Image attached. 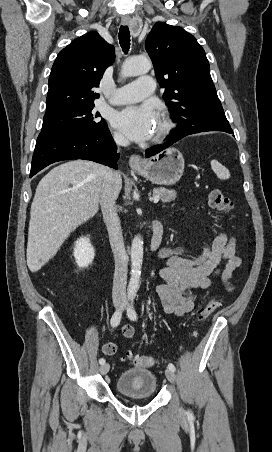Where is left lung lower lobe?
Returning <instances> with one entry per match:
<instances>
[{"instance_id": "0a47b994", "label": "left lung lower lobe", "mask_w": 272, "mask_h": 452, "mask_svg": "<svg viewBox=\"0 0 272 452\" xmlns=\"http://www.w3.org/2000/svg\"><path fill=\"white\" fill-rule=\"evenodd\" d=\"M205 131H224V132L233 134L231 127L225 128V129H220V130L177 127L176 130L172 131L170 133V135L167 136L168 141L166 143L159 145V146H153V147L147 149L145 151V155H146V157L153 156V155L159 153L160 151L166 149L167 147L171 146L172 144L177 142L179 139H181L187 135L199 133V132H205Z\"/></svg>"}]
</instances>
